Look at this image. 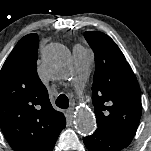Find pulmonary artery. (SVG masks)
I'll return each instance as SVG.
<instances>
[{"mask_svg": "<svg viewBox=\"0 0 151 151\" xmlns=\"http://www.w3.org/2000/svg\"><path fill=\"white\" fill-rule=\"evenodd\" d=\"M92 60L93 53L91 50L81 45L74 46L71 76L79 87H82L87 80Z\"/></svg>", "mask_w": 151, "mask_h": 151, "instance_id": "pulmonary-artery-1", "label": "pulmonary artery"}]
</instances>
